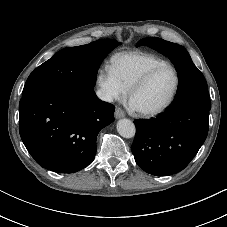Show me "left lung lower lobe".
Returning <instances> with one entry per match:
<instances>
[{
    "label": "left lung lower lobe",
    "mask_w": 227,
    "mask_h": 227,
    "mask_svg": "<svg viewBox=\"0 0 227 227\" xmlns=\"http://www.w3.org/2000/svg\"><path fill=\"white\" fill-rule=\"evenodd\" d=\"M209 110L180 107L151 120H135L132 153L147 173L168 176L183 170L195 157L208 134Z\"/></svg>",
    "instance_id": "1"
}]
</instances>
